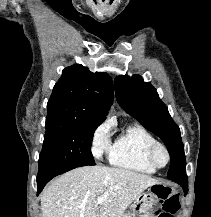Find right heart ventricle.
Masks as SVG:
<instances>
[{
    "label": "right heart ventricle",
    "mask_w": 211,
    "mask_h": 217,
    "mask_svg": "<svg viewBox=\"0 0 211 217\" xmlns=\"http://www.w3.org/2000/svg\"><path fill=\"white\" fill-rule=\"evenodd\" d=\"M155 142L154 136L144 127L129 125L116 137L110 151V163L136 172L154 174L156 169L147 161L146 152Z\"/></svg>",
    "instance_id": "e07e8e85"
}]
</instances>
